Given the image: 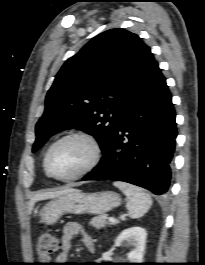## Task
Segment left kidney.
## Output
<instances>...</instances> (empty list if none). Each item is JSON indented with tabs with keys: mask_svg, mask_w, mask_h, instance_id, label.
<instances>
[{
	"mask_svg": "<svg viewBox=\"0 0 205 265\" xmlns=\"http://www.w3.org/2000/svg\"><path fill=\"white\" fill-rule=\"evenodd\" d=\"M147 232L144 228L134 226L123 230L115 240V245L120 246L123 242H128L132 247L127 254L130 263H141L145 250Z\"/></svg>",
	"mask_w": 205,
	"mask_h": 265,
	"instance_id": "1",
	"label": "left kidney"
}]
</instances>
